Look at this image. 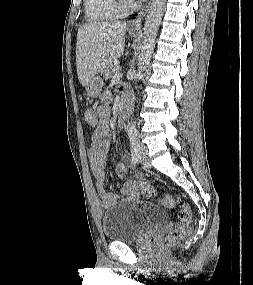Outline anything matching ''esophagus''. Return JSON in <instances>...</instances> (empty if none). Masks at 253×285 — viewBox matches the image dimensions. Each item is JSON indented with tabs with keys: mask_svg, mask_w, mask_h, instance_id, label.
<instances>
[{
	"mask_svg": "<svg viewBox=\"0 0 253 285\" xmlns=\"http://www.w3.org/2000/svg\"><path fill=\"white\" fill-rule=\"evenodd\" d=\"M150 3H151V0H148L147 3L138 12L137 16L129 22L130 30L139 31L141 29V23L148 11Z\"/></svg>",
	"mask_w": 253,
	"mask_h": 285,
	"instance_id": "esophagus-1",
	"label": "esophagus"
}]
</instances>
